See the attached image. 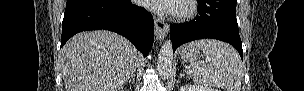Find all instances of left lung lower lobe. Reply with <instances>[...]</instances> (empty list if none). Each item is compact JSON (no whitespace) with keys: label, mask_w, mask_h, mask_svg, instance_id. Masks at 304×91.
Segmentation results:
<instances>
[{"label":"left lung lower lobe","mask_w":304,"mask_h":91,"mask_svg":"<svg viewBox=\"0 0 304 91\" xmlns=\"http://www.w3.org/2000/svg\"><path fill=\"white\" fill-rule=\"evenodd\" d=\"M198 15L190 22L170 26L173 51L197 39L211 38L231 44L243 60L236 19V0H197Z\"/></svg>","instance_id":"1"}]
</instances>
